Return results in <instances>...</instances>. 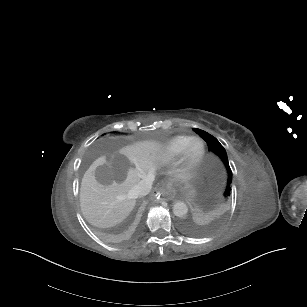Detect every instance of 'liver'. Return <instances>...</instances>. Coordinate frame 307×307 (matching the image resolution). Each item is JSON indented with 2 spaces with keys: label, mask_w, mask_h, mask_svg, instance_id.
<instances>
[{
  "label": "liver",
  "mask_w": 307,
  "mask_h": 307,
  "mask_svg": "<svg viewBox=\"0 0 307 307\" xmlns=\"http://www.w3.org/2000/svg\"><path fill=\"white\" fill-rule=\"evenodd\" d=\"M169 160L162 145L153 140L138 141L101 157L85 172L80 187V207L93 226L108 228L121 223L133 210L136 197L131 190ZM179 178L186 179L184 174Z\"/></svg>",
  "instance_id": "obj_1"
}]
</instances>
